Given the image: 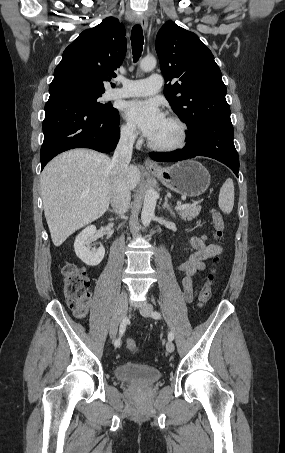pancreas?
<instances>
[{
  "mask_svg": "<svg viewBox=\"0 0 285 453\" xmlns=\"http://www.w3.org/2000/svg\"><path fill=\"white\" fill-rule=\"evenodd\" d=\"M179 216L181 217L182 220H188L191 221L192 219L196 218L200 211H201V206H195V205H190L188 204L187 208L177 210Z\"/></svg>",
  "mask_w": 285,
  "mask_h": 453,
  "instance_id": "1",
  "label": "pancreas"
}]
</instances>
